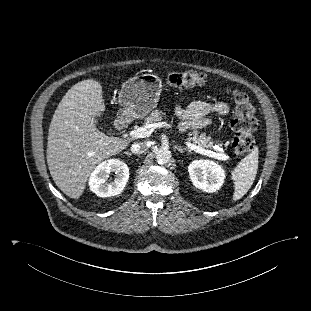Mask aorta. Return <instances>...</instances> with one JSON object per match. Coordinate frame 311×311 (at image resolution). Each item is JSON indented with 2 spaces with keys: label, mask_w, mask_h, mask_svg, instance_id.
Returning <instances> with one entry per match:
<instances>
[{
  "label": "aorta",
  "mask_w": 311,
  "mask_h": 311,
  "mask_svg": "<svg viewBox=\"0 0 311 311\" xmlns=\"http://www.w3.org/2000/svg\"><path fill=\"white\" fill-rule=\"evenodd\" d=\"M155 158L159 164L168 163L171 158V151L168 148L162 147L156 151Z\"/></svg>",
  "instance_id": "762f6f07"
}]
</instances>
